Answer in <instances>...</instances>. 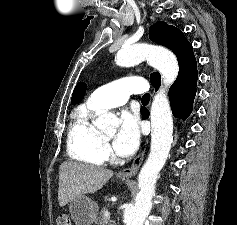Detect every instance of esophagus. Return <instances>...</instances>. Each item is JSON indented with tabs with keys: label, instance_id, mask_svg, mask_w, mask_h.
I'll return each mask as SVG.
<instances>
[{
	"label": "esophagus",
	"instance_id": "esophagus-1",
	"mask_svg": "<svg viewBox=\"0 0 237 225\" xmlns=\"http://www.w3.org/2000/svg\"><path fill=\"white\" fill-rule=\"evenodd\" d=\"M144 155H145V148L142 149L139 154L134 158L131 166L129 168H125L123 170H121L118 173L119 177L122 178H131L133 176H135L144 160Z\"/></svg>",
	"mask_w": 237,
	"mask_h": 225
}]
</instances>
